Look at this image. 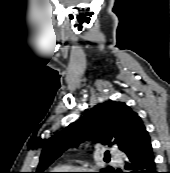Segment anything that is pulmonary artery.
<instances>
[{"instance_id":"obj_1","label":"pulmonary artery","mask_w":170,"mask_h":173,"mask_svg":"<svg viewBox=\"0 0 170 173\" xmlns=\"http://www.w3.org/2000/svg\"><path fill=\"white\" fill-rule=\"evenodd\" d=\"M111 155L118 160L119 163H122V160L120 158V153L116 150H111Z\"/></svg>"}]
</instances>
